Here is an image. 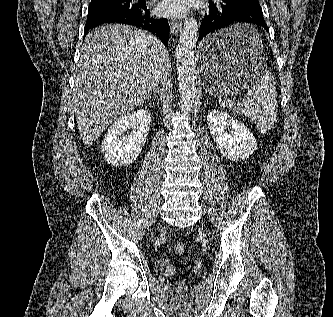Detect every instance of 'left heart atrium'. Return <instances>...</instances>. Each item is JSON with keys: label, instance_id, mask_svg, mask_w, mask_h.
I'll use <instances>...</instances> for the list:
<instances>
[{"label": "left heart atrium", "instance_id": "obj_1", "mask_svg": "<svg viewBox=\"0 0 333 317\" xmlns=\"http://www.w3.org/2000/svg\"><path fill=\"white\" fill-rule=\"evenodd\" d=\"M189 8V0H164L159 4V12L165 16H182Z\"/></svg>", "mask_w": 333, "mask_h": 317}]
</instances>
